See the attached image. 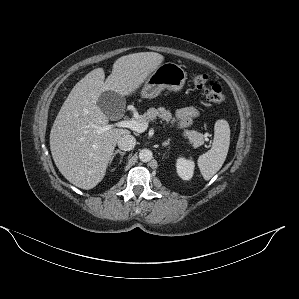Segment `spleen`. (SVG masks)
<instances>
[{"label":"spleen","mask_w":299,"mask_h":299,"mask_svg":"<svg viewBox=\"0 0 299 299\" xmlns=\"http://www.w3.org/2000/svg\"><path fill=\"white\" fill-rule=\"evenodd\" d=\"M214 132L211 149L198 158V167L205 180H210L221 169L230 145V128L226 120H218Z\"/></svg>","instance_id":"obj_1"}]
</instances>
